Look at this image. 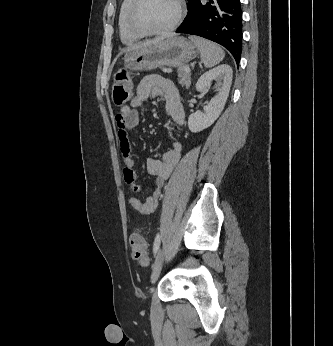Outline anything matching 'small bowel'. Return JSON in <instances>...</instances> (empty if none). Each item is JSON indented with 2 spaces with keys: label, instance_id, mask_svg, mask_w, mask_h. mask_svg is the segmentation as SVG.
Here are the masks:
<instances>
[{
  "label": "small bowel",
  "instance_id": "1",
  "mask_svg": "<svg viewBox=\"0 0 333 346\" xmlns=\"http://www.w3.org/2000/svg\"><path fill=\"white\" fill-rule=\"evenodd\" d=\"M155 97H163L165 99V111L171 120L175 132L180 131L184 121V107L179 91L174 83L159 75L151 74L145 76L138 84L136 94L130 101V106L122 107L121 113L116 121L120 151L124 163V180L133 193L141 192L142 188L136 182L135 162L132 157L128 134L139 123V112L137 108ZM181 151L182 144L176 141L173 143V148L163 154L161 160L155 158L147 159V172L154 177L155 182L152 188V195L147 199L130 198L129 203L135 211L143 215H148L156 210L164 182L178 164Z\"/></svg>",
  "mask_w": 333,
  "mask_h": 346
}]
</instances>
